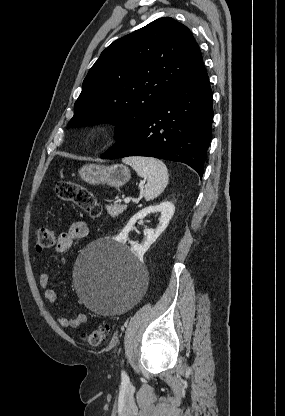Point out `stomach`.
Masks as SVG:
<instances>
[{
    "label": "stomach",
    "mask_w": 285,
    "mask_h": 416,
    "mask_svg": "<svg viewBox=\"0 0 285 416\" xmlns=\"http://www.w3.org/2000/svg\"><path fill=\"white\" fill-rule=\"evenodd\" d=\"M79 176L92 186L97 184H107L113 188H120L130 180V170L122 164L114 166H97V164H87L79 170Z\"/></svg>",
    "instance_id": "1"
}]
</instances>
